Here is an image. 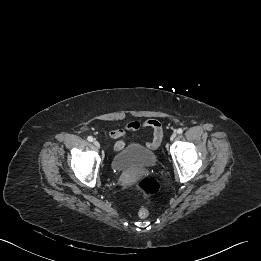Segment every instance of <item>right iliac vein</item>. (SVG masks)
Here are the masks:
<instances>
[{
    "instance_id": "63e3f726",
    "label": "right iliac vein",
    "mask_w": 261,
    "mask_h": 261,
    "mask_svg": "<svg viewBox=\"0 0 261 261\" xmlns=\"http://www.w3.org/2000/svg\"><path fill=\"white\" fill-rule=\"evenodd\" d=\"M94 145L96 148H100V143L97 140H94Z\"/></svg>"
}]
</instances>
